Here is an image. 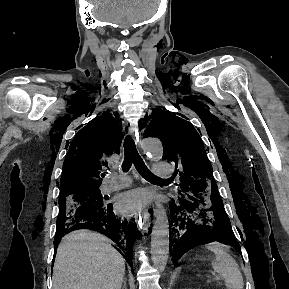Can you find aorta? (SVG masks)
I'll return each instance as SVG.
<instances>
[{"label": "aorta", "instance_id": "obj_1", "mask_svg": "<svg viewBox=\"0 0 289 289\" xmlns=\"http://www.w3.org/2000/svg\"><path fill=\"white\" fill-rule=\"evenodd\" d=\"M143 153L153 161H159L163 156V146L160 140L145 138L141 143ZM169 258V223L166 211L161 202H156L155 221L151 234V259L154 267L163 272Z\"/></svg>", "mask_w": 289, "mask_h": 289}]
</instances>
